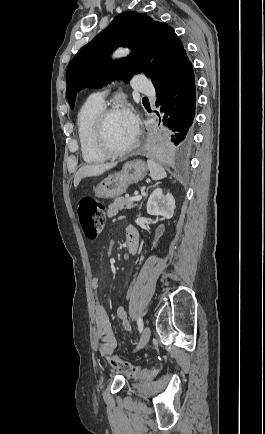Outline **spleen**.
I'll list each match as a JSON object with an SVG mask.
<instances>
[{"instance_id":"3e777b00","label":"spleen","mask_w":265,"mask_h":434,"mask_svg":"<svg viewBox=\"0 0 265 434\" xmlns=\"http://www.w3.org/2000/svg\"><path fill=\"white\" fill-rule=\"evenodd\" d=\"M147 166L152 180H162V178H166L167 174L160 164H156L153 160H148Z\"/></svg>"}]
</instances>
